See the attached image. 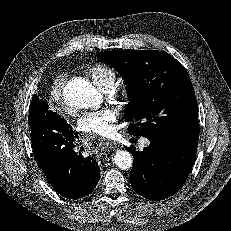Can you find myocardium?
<instances>
[{"instance_id": "1", "label": "myocardium", "mask_w": 231, "mask_h": 231, "mask_svg": "<svg viewBox=\"0 0 231 231\" xmlns=\"http://www.w3.org/2000/svg\"><path fill=\"white\" fill-rule=\"evenodd\" d=\"M128 95V92L125 90V91H122L118 97H126Z\"/></svg>"}]
</instances>
